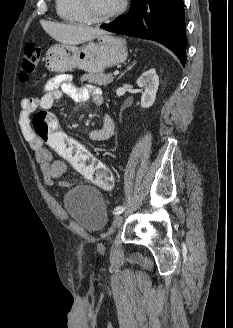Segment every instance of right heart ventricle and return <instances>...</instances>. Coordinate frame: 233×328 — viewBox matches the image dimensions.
<instances>
[{
    "instance_id": "right-heart-ventricle-1",
    "label": "right heart ventricle",
    "mask_w": 233,
    "mask_h": 328,
    "mask_svg": "<svg viewBox=\"0 0 233 328\" xmlns=\"http://www.w3.org/2000/svg\"><path fill=\"white\" fill-rule=\"evenodd\" d=\"M58 16L70 23H84L85 17L79 7L78 0H56Z\"/></svg>"
}]
</instances>
